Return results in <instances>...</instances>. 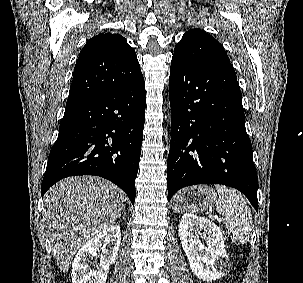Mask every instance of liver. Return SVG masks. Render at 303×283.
<instances>
[{
  "label": "liver",
  "mask_w": 303,
  "mask_h": 283,
  "mask_svg": "<svg viewBox=\"0 0 303 283\" xmlns=\"http://www.w3.org/2000/svg\"><path fill=\"white\" fill-rule=\"evenodd\" d=\"M44 217L54 258L66 273L79 249L110 227L125 209L124 192L94 176L70 177L44 196Z\"/></svg>",
  "instance_id": "liver-1"
}]
</instances>
